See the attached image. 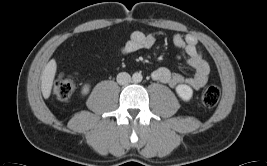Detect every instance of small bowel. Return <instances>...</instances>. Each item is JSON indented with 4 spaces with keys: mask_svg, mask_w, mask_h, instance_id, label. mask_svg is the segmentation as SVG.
I'll return each instance as SVG.
<instances>
[{
    "mask_svg": "<svg viewBox=\"0 0 267 166\" xmlns=\"http://www.w3.org/2000/svg\"><path fill=\"white\" fill-rule=\"evenodd\" d=\"M155 41V36L152 33L135 31L123 45L121 52L123 54H131L141 49H149L154 46ZM172 41L179 51L177 58L181 59L182 55L185 54L187 56V64L194 69L195 73L191 77H184L171 68L160 67L153 71V79L169 84L172 87L187 84L193 89H200L207 82L210 68L198 48L196 38L190 34L184 36L175 34Z\"/></svg>",
    "mask_w": 267,
    "mask_h": 166,
    "instance_id": "obj_1",
    "label": "small bowel"
}]
</instances>
